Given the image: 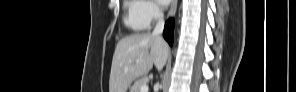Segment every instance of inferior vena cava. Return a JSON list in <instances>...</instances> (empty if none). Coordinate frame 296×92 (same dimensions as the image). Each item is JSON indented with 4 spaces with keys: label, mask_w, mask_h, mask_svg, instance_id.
<instances>
[{
    "label": "inferior vena cava",
    "mask_w": 296,
    "mask_h": 92,
    "mask_svg": "<svg viewBox=\"0 0 296 92\" xmlns=\"http://www.w3.org/2000/svg\"><path fill=\"white\" fill-rule=\"evenodd\" d=\"M156 13L158 15V22L152 32V35L154 36H160L164 29V19H163V13L157 8Z\"/></svg>",
    "instance_id": "1"
}]
</instances>
